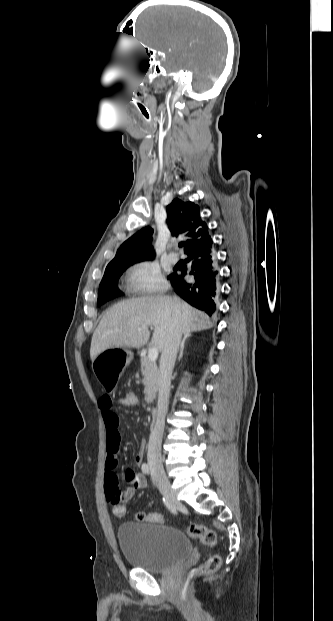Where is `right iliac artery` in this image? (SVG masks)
<instances>
[{"label": "right iliac artery", "instance_id": "right-iliac-artery-1", "mask_svg": "<svg viewBox=\"0 0 333 621\" xmlns=\"http://www.w3.org/2000/svg\"><path fill=\"white\" fill-rule=\"evenodd\" d=\"M141 469H142V472L145 473V474H149V472H150V468H149L148 464H146V463L142 464Z\"/></svg>", "mask_w": 333, "mask_h": 621}]
</instances>
